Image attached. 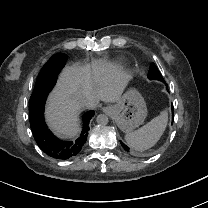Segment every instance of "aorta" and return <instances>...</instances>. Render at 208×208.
Listing matches in <instances>:
<instances>
[{
  "label": "aorta",
  "mask_w": 208,
  "mask_h": 208,
  "mask_svg": "<svg viewBox=\"0 0 208 208\" xmlns=\"http://www.w3.org/2000/svg\"><path fill=\"white\" fill-rule=\"evenodd\" d=\"M97 123L99 125L105 126L109 123V118L107 115L101 114L97 116Z\"/></svg>",
  "instance_id": "obj_1"
}]
</instances>
